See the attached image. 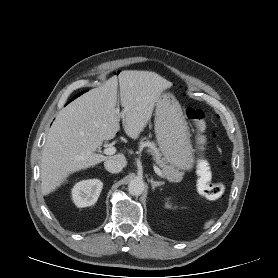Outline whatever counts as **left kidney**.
I'll return each instance as SVG.
<instances>
[{
	"instance_id": "5707ae66",
	"label": "left kidney",
	"mask_w": 278,
	"mask_h": 278,
	"mask_svg": "<svg viewBox=\"0 0 278 278\" xmlns=\"http://www.w3.org/2000/svg\"><path fill=\"white\" fill-rule=\"evenodd\" d=\"M171 206H172V205H171L170 203H167V204H166V207H167V208H171Z\"/></svg>"
}]
</instances>
